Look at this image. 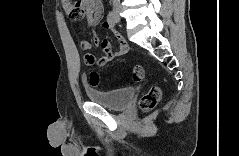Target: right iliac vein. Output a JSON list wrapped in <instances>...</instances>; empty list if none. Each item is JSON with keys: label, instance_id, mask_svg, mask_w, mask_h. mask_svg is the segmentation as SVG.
I'll list each match as a JSON object with an SVG mask.
<instances>
[{"label": "right iliac vein", "instance_id": "obj_1", "mask_svg": "<svg viewBox=\"0 0 239 156\" xmlns=\"http://www.w3.org/2000/svg\"><path fill=\"white\" fill-rule=\"evenodd\" d=\"M114 15L117 19H119V9L118 8L114 9Z\"/></svg>", "mask_w": 239, "mask_h": 156}]
</instances>
